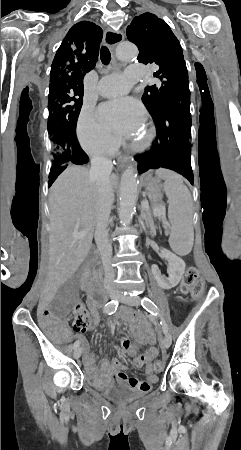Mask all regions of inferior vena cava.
Listing matches in <instances>:
<instances>
[{"label":"inferior vena cava","instance_id":"1","mask_svg":"<svg viewBox=\"0 0 241 450\" xmlns=\"http://www.w3.org/2000/svg\"><path fill=\"white\" fill-rule=\"evenodd\" d=\"M113 164L108 158L95 156L91 160L89 172L90 182H96L99 194V214L95 230L96 244L101 254L104 268V288L108 290L111 282L115 278V270L112 266V244L108 238V220L111 206L114 200V194L110 186L109 176L112 172Z\"/></svg>","mask_w":241,"mask_h":450}]
</instances>
